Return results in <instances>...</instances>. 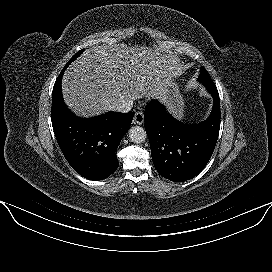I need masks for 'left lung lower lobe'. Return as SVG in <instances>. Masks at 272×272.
<instances>
[{
    "mask_svg": "<svg viewBox=\"0 0 272 272\" xmlns=\"http://www.w3.org/2000/svg\"><path fill=\"white\" fill-rule=\"evenodd\" d=\"M202 83V82H201ZM214 99L207 120L186 125L175 120L157 100L145 108V130L158 173L174 182L197 176L214 151L220 129V98L214 82L203 83Z\"/></svg>",
    "mask_w": 272,
    "mask_h": 272,
    "instance_id": "1",
    "label": "left lung lower lobe"
}]
</instances>
